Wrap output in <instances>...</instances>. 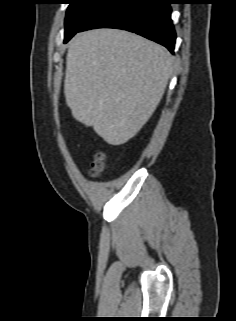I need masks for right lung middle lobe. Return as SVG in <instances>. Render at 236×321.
<instances>
[{
  "label": "right lung middle lobe",
  "mask_w": 236,
  "mask_h": 321,
  "mask_svg": "<svg viewBox=\"0 0 236 321\" xmlns=\"http://www.w3.org/2000/svg\"><path fill=\"white\" fill-rule=\"evenodd\" d=\"M65 18V39L67 43L82 25L108 0H68Z\"/></svg>",
  "instance_id": "dd1d6c3e"
}]
</instances>
